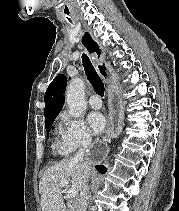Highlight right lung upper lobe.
<instances>
[{"instance_id": "1", "label": "right lung upper lobe", "mask_w": 179, "mask_h": 211, "mask_svg": "<svg viewBox=\"0 0 179 211\" xmlns=\"http://www.w3.org/2000/svg\"><path fill=\"white\" fill-rule=\"evenodd\" d=\"M99 54V51H96ZM105 66H99V71L102 75H105ZM67 78L65 75L60 74L49 85L44 101H45V120L52 117H56L61 111L64 104V92L66 88Z\"/></svg>"}]
</instances>
